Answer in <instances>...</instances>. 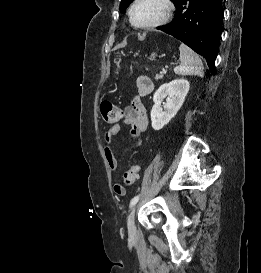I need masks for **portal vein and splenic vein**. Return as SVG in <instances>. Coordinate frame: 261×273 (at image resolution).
Segmentation results:
<instances>
[{"label": "portal vein and splenic vein", "instance_id": "18ae733b", "mask_svg": "<svg viewBox=\"0 0 261 273\" xmlns=\"http://www.w3.org/2000/svg\"><path fill=\"white\" fill-rule=\"evenodd\" d=\"M161 74H166V70L163 69L162 72H161Z\"/></svg>", "mask_w": 261, "mask_h": 273}]
</instances>
